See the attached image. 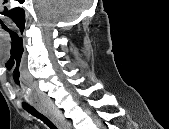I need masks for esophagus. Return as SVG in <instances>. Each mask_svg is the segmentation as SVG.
I'll use <instances>...</instances> for the list:
<instances>
[{
	"label": "esophagus",
	"instance_id": "34e87169",
	"mask_svg": "<svg viewBox=\"0 0 169 129\" xmlns=\"http://www.w3.org/2000/svg\"><path fill=\"white\" fill-rule=\"evenodd\" d=\"M35 108L41 112L42 114H44L45 116H47L49 119L52 120L51 115L47 112V110H45V108L43 106H41L40 104H36Z\"/></svg>",
	"mask_w": 169,
	"mask_h": 129
}]
</instances>
